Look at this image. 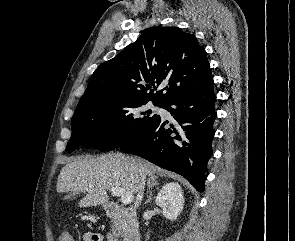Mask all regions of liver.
I'll list each match as a JSON object with an SVG mask.
<instances>
[{
    "label": "liver",
    "instance_id": "liver-1",
    "mask_svg": "<svg viewBox=\"0 0 295 241\" xmlns=\"http://www.w3.org/2000/svg\"><path fill=\"white\" fill-rule=\"evenodd\" d=\"M159 171L157 166L146 160L120 153L78 157L61 169L57 192H71L73 196L83 192L85 196L78 202L79 207L103 205L109 201L107 190L120 187L136 194L139 192V175L151 176Z\"/></svg>",
    "mask_w": 295,
    "mask_h": 241
}]
</instances>
